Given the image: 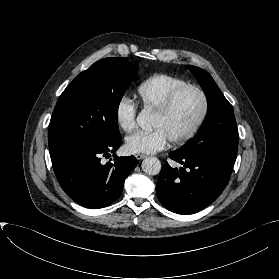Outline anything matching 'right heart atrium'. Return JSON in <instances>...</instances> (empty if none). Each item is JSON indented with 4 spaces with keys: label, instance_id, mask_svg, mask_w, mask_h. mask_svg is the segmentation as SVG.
Listing matches in <instances>:
<instances>
[{
    "label": "right heart atrium",
    "instance_id": "d8ad5b80",
    "mask_svg": "<svg viewBox=\"0 0 279 279\" xmlns=\"http://www.w3.org/2000/svg\"><path fill=\"white\" fill-rule=\"evenodd\" d=\"M136 118L137 107L134 102L126 96L121 97L115 108V120L118 127L129 133L136 127Z\"/></svg>",
    "mask_w": 279,
    "mask_h": 279
}]
</instances>
